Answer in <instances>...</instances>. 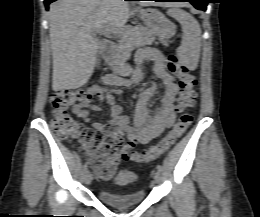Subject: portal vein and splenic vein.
<instances>
[{"mask_svg":"<svg viewBox=\"0 0 260 217\" xmlns=\"http://www.w3.org/2000/svg\"><path fill=\"white\" fill-rule=\"evenodd\" d=\"M98 32H103L106 34H115V33H117V29H115V28L100 29V30H96L94 33H98Z\"/></svg>","mask_w":260,"mask_h":217,"instance_id":"obj_1","label":"portal vein and splenic vein"}]
</instances>
